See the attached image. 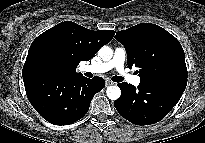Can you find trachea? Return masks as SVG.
<instances>
[{"label": "trachea", "instance_id": "3493384b", "mask_svg": "<svg viewBox=\"0 0 205 143\" xmlns=\"http://www.w3.org/2000/svg\"><path fill=\"white\" fill-rule=\"evenodd\" d=\"M111 79H112V81H114V82H121V81L123 80V78L120 77V76H113Z\"/></svg>", "mask_w": 205, "mask_h": 143}]
</instances>
